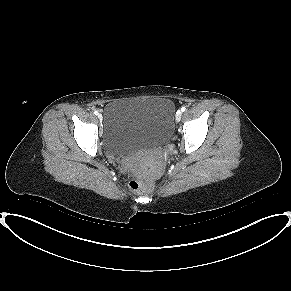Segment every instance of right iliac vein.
<instances>
[{
    "mask_svg": "<svg viewBox=\"0 0 291 291\" xmlns=\"http://www.w3.org/2000/svg\"><path fill=\"white\" fill-rule=\"evenodd\" d=\"M98 118L101 120L102 119V114L98 113Z\"/></svg>",
    "mask_w": 291,
    "mask_h": 291,
    "instance_id": "right-iliac-vein-1",
    "label": "right iliac vein"
}]
</instances>
